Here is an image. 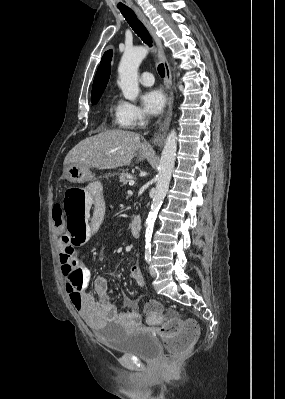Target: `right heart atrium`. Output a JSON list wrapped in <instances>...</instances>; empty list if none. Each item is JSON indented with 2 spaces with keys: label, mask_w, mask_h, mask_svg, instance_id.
Instances as JSON below:
<instances>
[{
  "label": "right heart atrium",
  "mask_w": 285,
  "mask_h": 399,
  "mask_svg": "<svg viewBox=\"0 0 285 399\" xmlns=\"http://www.w3.org/2000/svg\"><path fill=\"white\" fill-rule=\"evenodd\" d=\"M145 118L143 110L129 101L121 100L117 112L118 123L123 127H133Z\"/></svg>",
  "instance_id": "right-heart-atrium-1"
}]
</instances>
